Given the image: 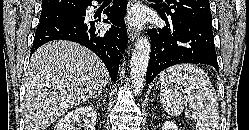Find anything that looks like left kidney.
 <instances>
[{
	"label": "left kidney",
	"mask_w": 249,
	"mask_h": 130,
	"mask_svg": "<svg viewBox=\"0 0 249 130\" xmlns=\"http://www.w3.org/2000/svg\"><path fill=\"white\" fill-rule=\"evenodd\" d=\"M163 130H178V127L176 126V124L172 121H166L163 126H162Z\"/></svg>",
	"instance_id": "obj_1"
}]
</instances>
